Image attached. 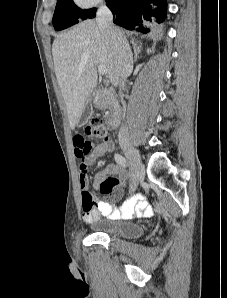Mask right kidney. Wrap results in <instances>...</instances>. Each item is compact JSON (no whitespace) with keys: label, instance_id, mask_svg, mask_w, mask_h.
Here are the masks:
<instances>
[{"label":"right kidney","instance_id":"ca27d5eb","mask_svg":"<svg viewBox=\"0 0 227 298\" xmlns=\"http://www.w3.org/2000/svg\"><path fill=\"white\" fill-rule=\"evenodd\" d=\"M147 52L149 53V52H150V50L148 49V50H147Z\"/></svg>","mask_w":227,"mask_h":298}]
</instances>
